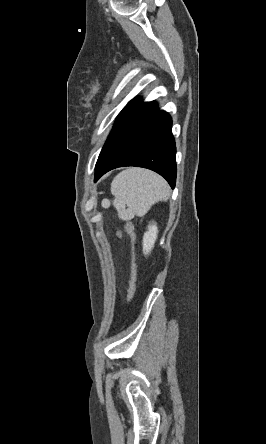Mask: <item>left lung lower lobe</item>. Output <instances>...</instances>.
<instances>
[{
	"label": "left lung lower lobe",
	"instance_id": "0a47b994",
	"mask_svg": "<svg viewBox=\"0 0 266 444\" xmlns=\"http://www.w3.org/2000/svg\"><path fill=\"white\" fill-rule=\"evenodd\" d=\"M171 128V117L158 111L155 102L135 100L127 105L101 150L94 181L117 167L138 166L157 172L174 188L176 146Z\"/></svg>",
	"mask_w": 266,
	"mask_h": 444
}]
</instances>
